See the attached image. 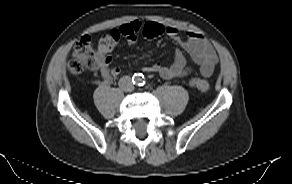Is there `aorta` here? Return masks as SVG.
I'll return each instance as SVG.
<instances>
[{"instance_id":"aorta-1","label":"aorta","mask_w":292,"mask_h":184,"mask_svg":"<svg viewBox=\"0 0 292 184\" xmlns=\"http://www.w3.org/2000/svg\"><path fill=\"white\" fill-rule=\"evenodd\" d=\"M135 80L138 82L139 81V79L138 78H135Z\"/></svg>"}]
</instances>
